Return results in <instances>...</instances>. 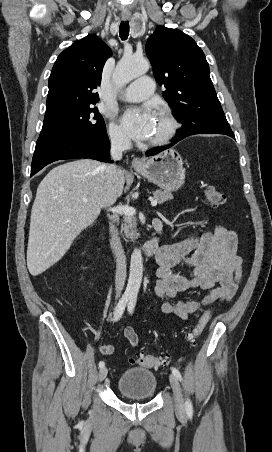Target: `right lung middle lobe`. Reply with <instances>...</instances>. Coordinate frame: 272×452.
Wrapping results in <instances>:
<instances>
[{"label":"right lung middle lobe","instance_id":"obj_1","mask_svg":"<svg viewBox=\"0 0 272 452\" xmlns=\"http://www.w3.org/2000/svg\"><path fill=\"white\" fill-rule=\"evenodd\" d=\"M94 105L45 114L39 137L104 135L105 122Z\"/></svg>","mask_w":272,"mask_h":452}]
</instances>
